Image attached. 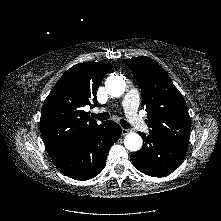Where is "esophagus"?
Wrapping results in <instances>:
<instances>
[{"instance_id":"esophagus-1","label":"esophagus","mask_w":221,"mask_h":221,"mask_svg":"<svg viewBox=\"0 0 221 221\" xmlns=\"http://www.w3.org/2000/svg\"><path fill=\"white\" fill-rule=\"evenodd\" d=\"M130 132L129 129L122 128V135H126Z\"/></svg>"}]
</instances>
